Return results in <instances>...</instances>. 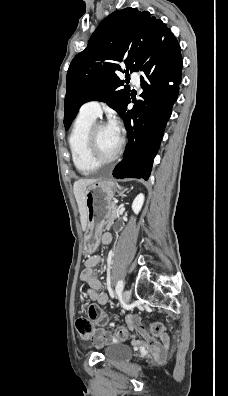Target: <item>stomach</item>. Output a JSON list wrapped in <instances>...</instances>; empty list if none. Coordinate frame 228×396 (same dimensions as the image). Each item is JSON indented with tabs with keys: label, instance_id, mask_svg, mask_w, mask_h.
Segmentation results:
<instances>
[{
	"label": "stomach",
	"instance_id": "0dacf381",
	"mask_svg": "<svg viewBox=\"0 0 228 396\" xmlns=\"http://www.w3.org/2000/svg\"><path fill=\"white\" fill-rule=\"evenodd\" d=\"M115 184L112 181H96L85 190L87 227L83 238L84 254H92L100 243L103 228L113 215L112 200Z\"/></svg>",
	"mask_w": 228,
	"mask_h": 396
}]
</instances>
